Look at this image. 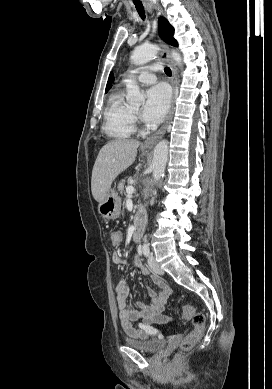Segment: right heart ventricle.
I'll list each match as a JSON object with an SVG mask.
<instances>
[{
    "label": "right heart ventricle",
    "mask_w": 272,
    "mask_h": 389,
    "mask_svg": "<svg viewBox=\"0 0 272 389\" xmlns=\"http://www.w3.org/2000/svg\"><path fill=\"white\" fill-rule=\"evenodd\" d=\"M104 131L114 139H127L136 131L133 110L125 103L123 90L113 92L104 112Z\"/></svg>",
    "instance_id": "1"
}]
</instances>
